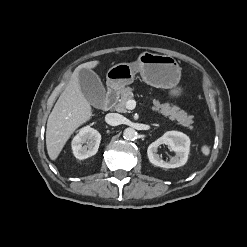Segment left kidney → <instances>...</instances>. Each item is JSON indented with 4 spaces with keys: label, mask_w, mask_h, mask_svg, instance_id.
Masks as SVG:
<instances>
[{
    "label": "left kidney",
    "mask_w": 247,
    "mask_h": 247,
    "mask_svg": "<svg viewBox=\"0 0 247 247\" xmlns=\"http://www.w3.org/2000/svg\"><path fill=\"white\" fill-rule=\"evenodd\" d=\"M166 144L176 153L169 162L160 159L157 149L159 145ZM190 151L189 137L178 131H168L162 137L151 143L147 149L149 161L162 168H177L183 166L188 159Z\"/></svg>",
    "instance_id": "1"
}]
</instances>
